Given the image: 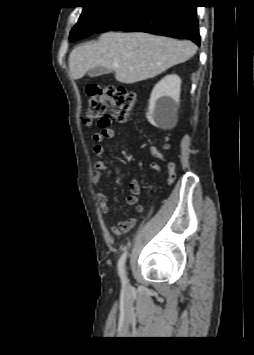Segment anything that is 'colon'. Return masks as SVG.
Masks as SVG:
<instances>
[{
    "mask_svg": "<svg viewBox=\"0 0 254 355\" xmlns=\"http://www.w3.org/2000/svg\"><path fill=\"white\" fill-rule=\"evenodd\" d=\"M89 97L85 111L84 121L87 125L97 121L103 124V115L106 111L107 104L112 107V114L116 121L126 123L130 120L133 105L135 101V93L125 87H99L89 85L86 88ZM175 179V172L170 171L168 182L171 183Z\"/></svg>",
    "mask_w": 254,
    "mask_h": 355,
    "instance_id": "1",
    "label": "colon"
}]
</instances>
